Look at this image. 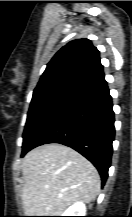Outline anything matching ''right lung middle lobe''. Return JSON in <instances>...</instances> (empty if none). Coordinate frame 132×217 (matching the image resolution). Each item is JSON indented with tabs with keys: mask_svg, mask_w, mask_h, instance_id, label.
<instances>
[{
	"mask_svg": "<svg viewBox=\"0 0 132 217\" xmlns=\"http://www.w3.org/2000/svg\"><path fill=\"white\" fill-rule=\"evenodd\" d=\"M77 95L67 91H54L32 97L23 133V156L42 132Z\"/></svg>",
	"mask_w": 132,
	"mask_h": 217,
	"instance_id": "right-lung-middle-lobe-1",
	"label": "right lung middle lobe"
}]
</instances>
